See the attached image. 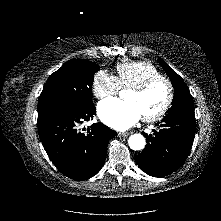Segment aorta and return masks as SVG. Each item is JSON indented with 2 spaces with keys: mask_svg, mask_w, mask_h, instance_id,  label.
Returning <instances> with one entry per match:
<instances>
[{
  "mask_svg": "<svg viewBox=\"0 0 221 221\" xmlns=\"http://www.w3.org/2000/svg\"><path fill=\"white\" fill-rule=\"evenodd\" d=\"M128 144L132 150H142L145 147L146 140L141 134H133L129 137Z\"/></svg>",
  "mask_w": 221,
  "mask_h": 221,
  "instance_id": "762f6f07",
  "label": "aorta"
}]
</instances>
